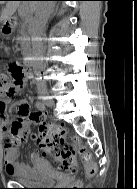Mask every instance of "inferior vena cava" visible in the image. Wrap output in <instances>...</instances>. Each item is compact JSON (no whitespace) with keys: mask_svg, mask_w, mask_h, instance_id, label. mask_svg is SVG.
Listing matches in <instances>:
<instances>
[{"mask_svg":"<svg viewBox=\"0 0 137 189\" xmlns=\"http://www.w3.org/2000/svg\"><path fill=\"white\" fill-rule=\"evenodd\" d=\"M43 6L36 11L35 18L32 21L30 34H31V41H32V55L34 58V65H36L35 69V78L36 83H39V88H46L47 86L44 85L45 80L47 79L44 77V67H43V44L40 39L41 34L43 33L44 27L47 23L48 17L51 13L52 7L54 6V2L46 1Z\"/></svg>","mask_w":137,"mask_h":189,"instance_id":"1","label":"inferior vena cava"}]
</instances>
